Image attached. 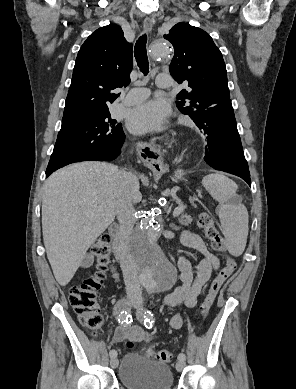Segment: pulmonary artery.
<instances>
[{
  "mask_svg": "<svg viewBox=\"0 0 296 389\" xmlns=\"http://www.w3.org/2000/svg\"><path fill=\"white\" fill-rule=\"evenodd\" d=\"M156 84L160 88H168L172 86L171 78L167 75L160 74L157 76ZM149 96L147 88L137 87L132 88L124 99L125 105H135L143 102Z\"/></svg>",
  "mask_w": 296,
  "mask_h": 389,
  "instance_id": "pulmonary-artery-1",
  "label": "pulmonary artery"
}]
</instances>
